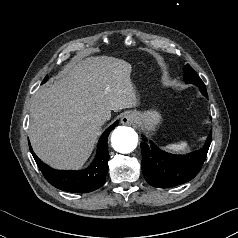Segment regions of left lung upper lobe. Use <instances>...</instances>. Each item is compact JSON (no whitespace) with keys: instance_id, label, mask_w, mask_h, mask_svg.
<instances>
[{"instance_id":"1","label":"left lung upper lobe","mask_w":238,"mask_h":238,"mask_svg":"<svg viewBox=\"0 0 238 238\" xmlns=\"http://www.w3.org/2000/svg\"><path fill=\"white\" fill-rule=\"evenodd\" d=\"M184 80L186 83H192L197 85L202 93L207 96V90L205 84L200 79V77L196 74V72L191 68L190 65L184 66Z\"/></svg>"}]
</instances>
